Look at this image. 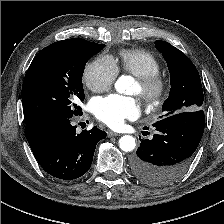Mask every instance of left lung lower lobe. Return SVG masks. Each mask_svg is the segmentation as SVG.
Returning a JSON list of instances; mask_svg holds the SVG:
<instances>
[{
    "label": "left lung lower lobe",
    "instance_id": "left-lung-lower-lobe-1",
    "mask_svg": "<svg viewBox=\"0 0 224 224\" xmlns=\"http://www.w3.org/2000/svg\"><path fill=\"white\" fill-rule=\"evenodd\" d=\"M153 126L158 133L150 140L140 138L132 169L141 182L163 186L188 168L203 135L205 116L202 109L185 111L167 116Z\"/></svg>",
    "mask_w": 224,
    "mask_h": 224
}]
</instances>
